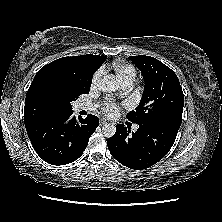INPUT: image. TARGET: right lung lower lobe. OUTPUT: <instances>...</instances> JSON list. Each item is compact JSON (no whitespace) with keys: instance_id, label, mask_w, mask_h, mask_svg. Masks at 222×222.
Returning a JSON list of instances; mask_svg holds the SVG:
<instances>
[{"instance_id":"1","label":"right lung lower lobe","mask_w":222,"mask_h":222,"mask_svg":"<svg viewBox=\"0 0 222 222\" xmlns=\"http://www.w3.org/2000/svg\"><path fill=\"white\" fill-rule=\"evenodd\" d=\"M72 114V110L60 112L26 126L35 151L49 164L59 166L77 160L99 125L95 115L76 120Z\"/></svg>"}]
</instances>
